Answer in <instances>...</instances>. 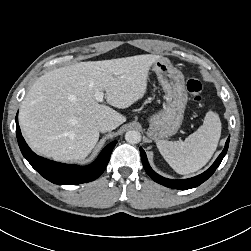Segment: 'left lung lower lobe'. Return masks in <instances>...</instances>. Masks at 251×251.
<instances>
[{"instance_id": "obj_1", "label": "left lung lower lobe", "mask_w": 251, "mask_h": 251, "mask_svg": "<svg viewBox=\"0 0 251 251\" xmlns=\"http://www.w3.org/2000/svg\"><path fill=\"white\" fill-rule=\"evenodd\" d=\"M229 139H230V137L227 139L222 153L218 156V158L213 163V165L208 170H206L204 173H202L198 176L189 178V179L172 180V179H167V178H164V177L158 175L156 172H154L152 170V168L150 167V165L148 163L146 153L144 152V150L142 148H140L142 164H143V167H144L145 171L147 172V174L155 182L162 184L163 186L173 188V189H180V190L191 189V188L197 187L200 184H202L215 172V170L217 169V167L220 165L221 161L223 160L224 156L226 155V152L228 150V145H229Z\"/></svg>"}]
</instances>
